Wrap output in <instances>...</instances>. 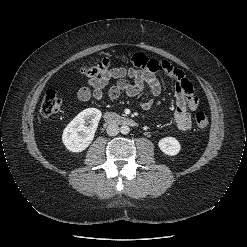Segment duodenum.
I'll list each match as a JSON object with an SVG mask.
<instances>
[{"label": "duodenum", "mask_w": 247, "mask_h": 247, "mask_svg": "<svg viewBox=\"0 0 247 247\" xmlns=\"http://www.w3.org/2000/svg\"><path fill=\"white\" fill-rule=\"evenodd\" d=\"M105 120L109 124H121V125H127V126L137 125V123L133 119L129 117L120 116L112 112H107L105 114Z\"/></svg>", "instance_id": "obj_1"}]
</instances>
